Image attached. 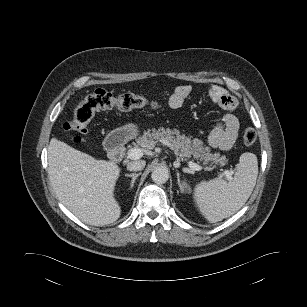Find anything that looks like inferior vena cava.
I'll use <instances>...</instances> for the list:
<instances>
[{"label": "inferior vena cava", "mask_w": 307, "mask_h": 307, "mask_svg": "<svg viewBox=\"0 0 307 307\" xmlns=\"http://www.w3.org/2000/svg\"><path fill=\"white\" fill-rule=\"evenodd\" d=\"M145 165L146 162L144 160L131 161L127 164V169L130 171H141Z\"/></svg>", "instance_id": "obj_1"}]
</instances>
